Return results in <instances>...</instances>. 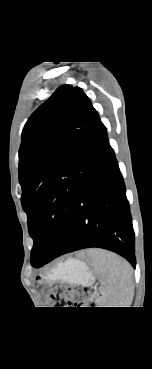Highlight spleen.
Segmentation results:
<instances>
[{
    "mask_svg": "<svg viewBox=\"0 0 152 369\" xmlns=\"http://www.w3.org/2000/svg\"><path fill=\"white\" fill-rule=\"evenodd\" d=\"M90 258L95 271L101 277V296L97 298L101 307H129L133 296L130 264L105 250H91Z\"/></svg>",
    "mask_w": 152,
    "mask_h": 369,
    "instance_id": "spleen-1",
    "label": "spleen"
}]
</instances>
